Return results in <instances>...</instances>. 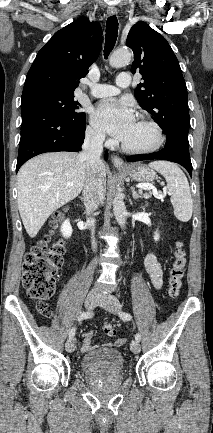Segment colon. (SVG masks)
Wrapping results in <instances>:
<instances>
[{"label":"colon","instance_id":"obj_1","mask_svg":"<svg viewBox=\"0 0 213 433\" xmlns=\"http://www.w3.org/2000/svg\"><path fill=\"white\" fill-rule=\"evenodd\" d=\"M63 219V213L54 217L49 234L31 247L23 262V286L28 295L37 300L36 309L44 317L52 315L48 301L55 293L56 277L63 263L65 251L63 243L61 241L52 242V236ZM185 266L186 251L183 243L178 241L175 244L168 280V294L173 299L180 294ZM103 331L108 336L116 334V328L111 323H105Z\"/></svg>","mask_w":213,"mask_h":433}]
</instances>
